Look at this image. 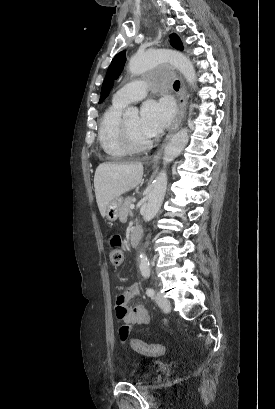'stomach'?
<instances>
[{
  "mask_svg": "<svg viewBox=\"0 0 275 409\" xmlns=\"http://www.w3.org/2000/svg\"><path fill=\"white\" fill-rule=\"evenodd\" d=\"M123 202V196H117V198H112L106 207V219L110 223H114L119 217V209Z\"/></svg>",
  "mask_w": 275,
  "mask_h": 409,
  "instance_id": "0dacf381",
  "label": "stomach"
}]
</instances>
